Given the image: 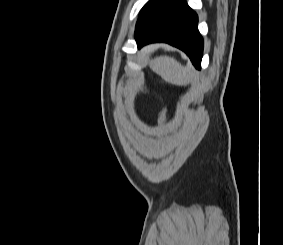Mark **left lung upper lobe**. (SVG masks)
Here are the masks:
<instances>
[{
  "label": "left lung upper lobe",
  "mask_w": 283,
  "mask_h": 245,
  "mask_svg": "<svg viewBox=\"0 0 283 245\" xmlns=\"http://www.w3.org/2000/svg\"><path fill=\"white\" fill-rule=\"evenodd\" d=\"M176 0H150L140 11L135 38L147 32Z\"/></svg>",
  "instance_id": "left-lung-upper-lobe-1"
}]
</instances>
